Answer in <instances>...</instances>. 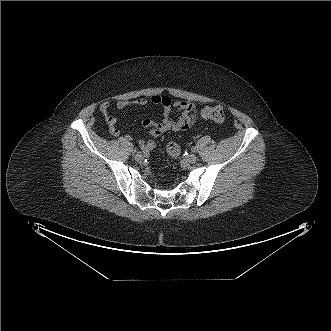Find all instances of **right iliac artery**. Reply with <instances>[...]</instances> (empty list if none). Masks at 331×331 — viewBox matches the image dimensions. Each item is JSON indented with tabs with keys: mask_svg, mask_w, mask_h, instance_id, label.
<instances>
[{
	"mask_svg": "<svg viewBox=\"0 0 331 331\" xmlns=\"http://www.w3.org/2000/svg\"><path fill=\"white\" fill-rule=\"evenodd\" d=\"M133 152H134V153H137V152H138V149H137V148H134V149H133Z\"/></svg>",
	"mask_w": 331,
	"mask_h": 331,
	"instance_id": "obj_1",
	"label": "right iliac artery"
}]
</instances>
